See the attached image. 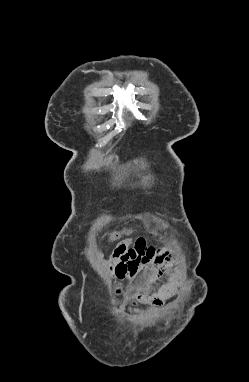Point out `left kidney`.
<instances>
[{"mask_svg":"<svg viewBox=\"0 0 249 382\" xmlns=\"http://www.w3.org/2000/svg\"><path fill=\"white\" fill-rule=\"evenodd\" d=\"M172 298H173V300H175V301H176V300H178V298H179V297H178V295H176V294H175V295H173V297H172Z\"/></svg>","mask_w":249,"mask_h":382,"instance_id":"left-kidney-1","label":"left kidney"}]
</instances>
